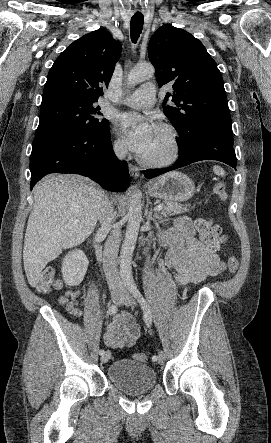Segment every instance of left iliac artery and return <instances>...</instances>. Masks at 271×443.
I'll list each match as a JSON object with an SVG mask.
<instances>
[{
	"label": "left iliac artery",
	"instance_id": "44dca946",
	"mask_svg": "<svg viewBox=\"0 0 271 443\" xmlns=\"http://www.w3.org/2000/svg\"><path fill=\"white\" fill-rule=\"evenodd\" d=\"M129 291L131 292V294L137 299V301L141 305V308H142L143 314H144V321H145L147 327L150 328L152 325V313H151V310H150L146 300L144 299V297L142 296V294L140 293V291L138 290V288L135 284L132 283L129 285ZM157 360H158V357L156 355H153L152 361H157Z\"/></svg>",
	"mask_w": 271,
	"mask_h": 443
}]
</instances>
